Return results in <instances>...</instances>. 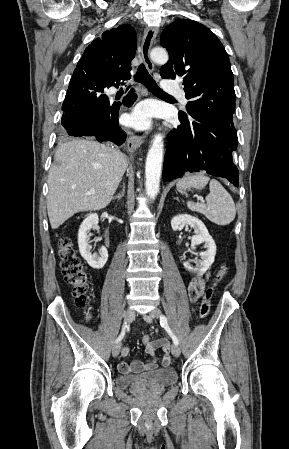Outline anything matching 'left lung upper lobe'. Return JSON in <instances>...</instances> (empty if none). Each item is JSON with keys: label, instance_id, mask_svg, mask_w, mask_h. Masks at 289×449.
I'll use <instances>...</instances> for the list:
<instances>
[{"label": "left lung upper lobe", "instance_id": "1", "mask_svg": "<svg viewBox=\"0 0 289 449\" xmlns=\"http://www.w3.org/2000/svg\"><path fill=\"white\" fill-rule=\"evenodd\" d=\"M160 43L169 52L160 74L183 79L189 119L201 117L235 128L234 77L216 35L196 21L177 19L163 30ZM179 117L189 121L185 113Z\"/></svg>", "mask_w": 289, "mask_h": 449}]
</instances>
